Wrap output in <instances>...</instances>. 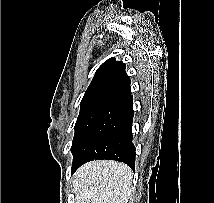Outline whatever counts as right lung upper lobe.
I'll list each match as a JSON object with an SVG mask.
<instances>
[{
  "mask_svg": "<svg viewBox=\"0 0 214 203\" xmlns=\"http://www.w3.org/2000/svg\"><path fill=\"white\" fill-rule=\"evenodd\" d=\"M130 92V78L125 72V64L110 58L96 71L83 99L107 97L115 100Z\"/></svg>",
  "mask_w": 214,
  "mask_h": 203,
  "instance_id": "right-lung-upper-lobe-1",
  "label": "right lung upper lobe"
}]
</instances>
